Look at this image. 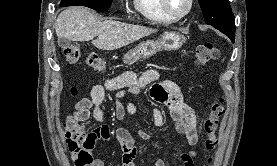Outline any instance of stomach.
<instances>
[{
  "label": "stomach",
  "instance_id": "1",
  "mask_svg": "<svg viewBox=\"0 0 277 166\" xmlns=\"http://www.w3.org/2000/svg\"><path fill=\"white\" fill-rule=\"evenodd\" d=\"M184 43V36L175 31L165 32L157 41H143L128 51L123 58L124 63L132 65L140 59H148L160 50H177Z\"/></svg>",
  "mask_w": 277,
  "mask_h": 166
}]
</instances>
